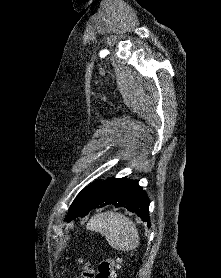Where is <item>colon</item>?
Masks as SVG:
<instances>
[{
    "instance_id": "obj_1",
    "label": "colon",
    "mask_w": 221,
    "mask_h": 278,
    "mask_svg": "<svg viewBox=\"0 0 221 278\" xmlns=\"http://www.w3.org/2000/svg\"><path fill=\"white\" fill-rule=\"evenodd\" d=\"M119 267L118 257H108L99 263L96 271L91 266L85 265L82 276L83 278H118Z\"/></svg>"
}]
</instances>
